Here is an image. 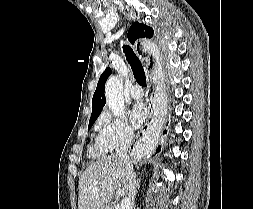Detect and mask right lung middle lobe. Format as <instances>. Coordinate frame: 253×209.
Instances as JSON below:
<instances>
[{
  "label": "right lung middle lobe",
  "mask_w": 253,
  "mask_h": 209,
  "mask_svg": "<svg viewBox=\"0 0 253 209\" xmlns=\"http://www.w3.org/2000/svg\"><path fill=\"white\" fill-rule=\"evenodd\" d=\"M96 121V119H91L89 121V126H88V129H90L92 127V125L94 124V122Z\"/></svg>",
  "instance_id": "obj_1"
}]
</instances>
